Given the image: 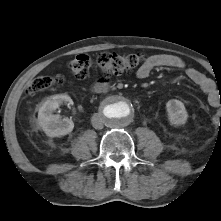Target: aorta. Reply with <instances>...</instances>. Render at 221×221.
<instances>
[{
    "label": "aorta",
    "mask_w": 221,
    "mask_h": 221,
    "mask_svg": "<svg viewBox=\"0 0 221 221\" xmlns=\"http://www.w3.org/2000/svg\"><path fill=\"white\" fill-rule=\"evenodd\" d=\"M134 115V106L122 96L107 100L102 108V116L107 125L122 127L129 124Z\"/></svg>",
    "instance_id": "762f6f07"
}]
</instances>
